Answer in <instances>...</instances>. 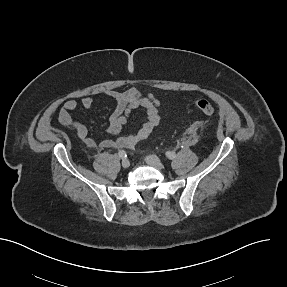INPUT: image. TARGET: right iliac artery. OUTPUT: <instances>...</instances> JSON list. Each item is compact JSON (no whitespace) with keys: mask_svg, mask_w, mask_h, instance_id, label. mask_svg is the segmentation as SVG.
<instances>
[{"mask_svg":"<svg viewBox=\"0 0 287 287\" xmlns=\"http://www.w3.org/2000/svg\"><path fill=\"white\" fill-rule=\"evenodd\" d=\"M118 155H119L120 158H125V157H127V154H126V152H125L124 150H120V151L118 152Z\"/></svg>","mask_w":287,"mask_h":287,"instance_id":"obj_1","label":"right iliac artery"}]
</instances>
